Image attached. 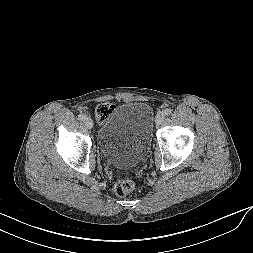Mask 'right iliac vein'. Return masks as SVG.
<instances>
[{"instance_id": "1", "label": "right iliac vein", "mask_w": 253, "mask_h": 253, "mask_svg": "<svg viewBox=\"0 0 253 253\" xmlns=\"http://www.w3.org/2000/svg\"><path fill=\"white\" fill-rule=\"evenodd\" d=\"M84 124L88 129H91L93 127V120L89 117L85 118Z\"/></svg>"}]
</instances>
